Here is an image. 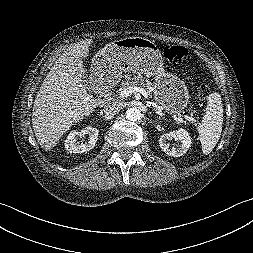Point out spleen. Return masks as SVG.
<instances>
[{
    "label": "spleen",
    "instance_id": "spleen-1",
    "mask_svg": "<svg viewBox=\"0 0 253 253\" xmlns=\"http://www.w3.org/2000/svg\"><path fill=\"white\" fill-rule=\"evenodd\" d=\"M223 124V107L221 96L211 93L208 96L206 112L203 115L198 139L204 155H208L220 139Z\"/></svg>",
    "mask_w": 253,
    "mask_h": 253
}]
</instances>
